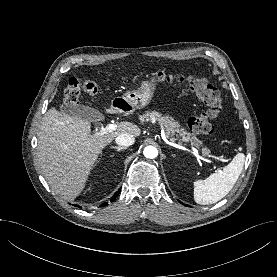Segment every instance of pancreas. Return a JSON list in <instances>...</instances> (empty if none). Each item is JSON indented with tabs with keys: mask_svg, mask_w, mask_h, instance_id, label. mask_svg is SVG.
Here are the masks:
<instances>
[{
	"mask_svg": "<svg viewBox=\"0 0 277 277\" xmlns=\"http://www.w3.org/2000/svg\"><path fill=\"white\" fill-rule=\"evenodd\" d=\"M141 122L151 121L152 123L158 122V124L163 127L167 135H177L181 137L183 141L190 142L197 147H202V150L208 151L209 149L203 147L202 142L197 139L196 136L181 128L180 124L176 122L170 116H162L161 113L156 111L146 112L143 116H140ZM210 151V150H209Z\"/></svg>",
	"mask_w": 277,
	"mask_h": 277,
	"instance_id": "1",
	"label": "pancreas"
}]
</instances>
